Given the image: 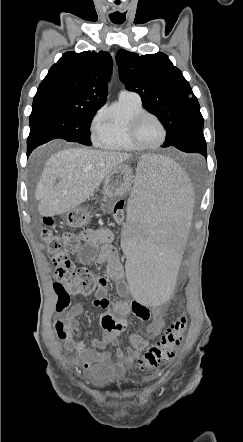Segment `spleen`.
I'll list each match as a JSON object with an SVG mask.
<instances>
[{"label":"spleen","mask_w":243,"mask_h":442,"mask_svg":"<svg viewBox=\"0 0 243 442\" xmlns=\"http://www.w3.org/2000/svg\"><path fill=\"white\" fill-rule=\"evenodd\" d=\"M128 217L122 228L128 295L139 307H162L176 291L178 263L194 226L193 193L188 172L173 161L145 155L134 170Z\"/></svg>","instance_id":"3e777b00"}]
</instances>
